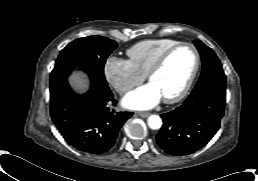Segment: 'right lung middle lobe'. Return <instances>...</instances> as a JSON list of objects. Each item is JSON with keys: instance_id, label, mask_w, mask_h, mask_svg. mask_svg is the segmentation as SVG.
Returning <instances> with one entry per match:
<instances>
[{"instance_id": "1", "label": "right lung middle lobe", "mask_w": 258, "mask_h": 181, "mask_svg": "<svg viewBox=\"0 0 258 181\" xmlns=\"http://www.w3.org/2000/svg\"><path fill=\"white\" fill-rule=\"evenodd\" d=\"M117 43L103 36H88L76 39L59 54L55 67L85 71L92 82L105 84L104 65Z\"/></svg>"}]
</instances>
